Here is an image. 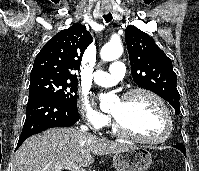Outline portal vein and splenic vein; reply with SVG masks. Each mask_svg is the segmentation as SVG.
<instances>
[{
    "label": "portal vein and splenic vein",
    "instance_id": "obj_1",
    "mask_svg": "<svg viewBox=\"0 0 199 171\" xmlns=\"http://www.w3.org/2000/svg\"><path fill=\"white\" fill-rule=\"evenodd\" d=\"M65 168L68 169L69 171H86L84 168L76 165L75 163L65 164Z\"/></svg>",
    "mask_w": 199,
    "mask_h": 171
}]
</instances>
